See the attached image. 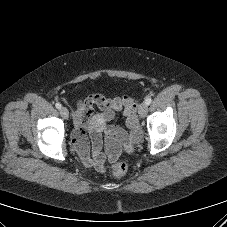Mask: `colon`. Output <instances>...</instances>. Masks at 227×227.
<instances>
[{
    "label": "colon",
    "mask_w": 227,
    "mask_h": 227,
    "mask_svg": "<svg viewBox=\"0 0 227 227\" xmlns=\"http://www.w3.org/2000/svg\"><path fill=\"white\" fill-rule=\"evenodd\" d=\"M126 171L127 164L123 161L116 162L111 166V173L114 177H121L126 173Z\"/></svg>",
    "instance_id": "obj_1"
}]
</instances>
